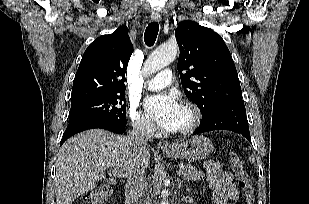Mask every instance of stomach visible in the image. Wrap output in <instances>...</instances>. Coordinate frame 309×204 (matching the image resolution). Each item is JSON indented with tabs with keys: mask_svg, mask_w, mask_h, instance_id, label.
<instances>
[{
	"mask_svg": "<svg viewBox=\"0 0 309 204\" xmlns=\"http://www.w3.org/2000/svg\"><path fill=\"white\" fill-rule=\"evenodd\" d=\"M213 143L204 136H194L176 144L170 151H164L165 155L172 158L197 161L207 158L213 151Z\"/></svg>",
	"mask_w": 309,
	"mask_h": 204,
	"instance_id": "obj_1",
	"label": "stomach"
}]
</instances>
